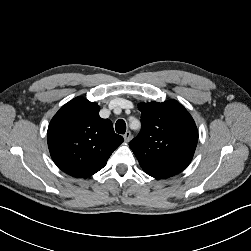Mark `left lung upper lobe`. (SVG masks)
<instances>
[{"label": "left lung upper lobe", "mask_w": 251, "mask_h": 251, "mask_svg": "<svg viewBox=\"0 0 251 251\" xmlns=\"http://www.w3.org/2000/svg\"><path fill=\"white\" fill-rule=\"evenodd\" d=\"M142 128L129 146L150 176L171 177L191 162L198 130L188 111L176 100L138 105Z\"/></svg>", "instance_id": "5c2ea615"}]
</instances>
